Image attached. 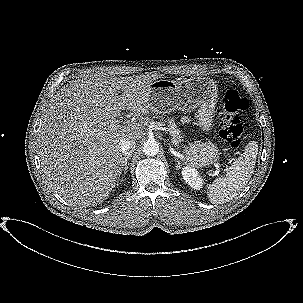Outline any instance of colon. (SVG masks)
<instances>
[{
  "label": "colon",
  "mask_w": 303,
  "mask_h": 303,
  "mask_svg": "<svg viewBox=\"0 0 303 303\" xmlns=\"http://www.w3.org/2000/svg\"><path fill=\"white\" fill-rule=\"evenodd\" d=\"M249 108V100L235 90H228L223 97L220 113V137L231 147L237 148L242 141L243 128L240 116Z\"/></svg>",
  "instance_id": "obj_1"
}]
</instances>
